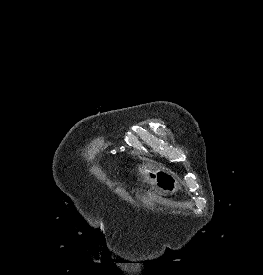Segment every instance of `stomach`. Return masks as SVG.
Instances as JSON below:
<instances>
[{
  "instance_id": "0dacf381",
  "label": "stomach",
  "mask_w": 263,
  "mask_h": 275,
  "mask_svg": "<svg viewBox=\"0 0 263 275\" xmlns=\"http://www.w3.org/2000/svg\"><path fill=\"white\" fill-rule=\"evenodd\" d=\"M138 170L144 181L156 186L163 193L172 194L179 188L178 180L172 173L162 170H152L148 165H140Z\"/></svg>"
}]
</instances>
